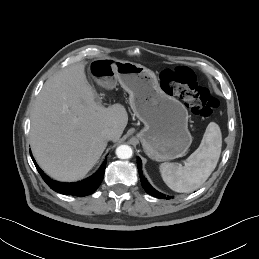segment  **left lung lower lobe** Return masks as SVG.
Here are the masks:
<instances>
[{"mask_svg":"<svg viewBox=\"0 0 259 259\" xmlns=\"http://www.w3.org/2000/svg\"><path fill=\"white\" fill-rule=\"evenodd\" d=\"M137 163H138V169H139V173H140V179H141V183H142V186L143 188L145 189V191L156 197V198H159V199H169V197L160 192H158L157 190H155L149 183L148 181L146 180V178L142 175V163H141V160L140 158H138L137 160ZM171 198V197H170Z\"/></svg>","mask_w":259,"mask_h":259,"instance_id":"left-lung-lower-lobe-1","label":"left lung lower lobe"}]
</instances>
